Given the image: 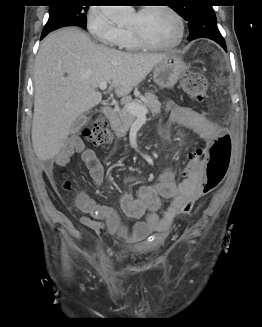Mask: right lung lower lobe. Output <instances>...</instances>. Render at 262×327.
Segmentation results:
<instances>
[{"mask_svg": "<svg viewBox=\"0 0 262 327\" xmlns=\"http://www.w3.org/2000/svg\"><path fill=\"white\" fill-rule=\"evenodd\" d=\"M49 32L42 33L41 39H43Z\"/></svg>", "mask_w": 262, "mask_h": 327, "instance_id": "obj_1", "label": "right lung lower lobe"}]
</instances>
